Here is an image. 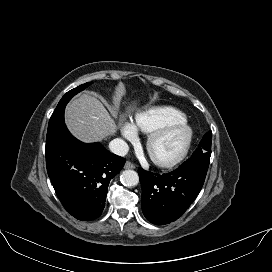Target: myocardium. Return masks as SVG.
Returning a JSON list of instances; mask_svg holds the SVG:
<instances>
[{
    "instance_id": "1",
    "label": "myocardium",
    "mask_w": 272,
    "mask_h": 272,
    "mask_svg": "<svg viewBox=\"0 0 272 272\" xmlns=\"http://www.w3.org/2000/svg\"><path fill=\"white\" fill-rule=\"evenodd\" d=\"M176 130H181L184 132V141L181 149L177 154L170 158H159L153 153V148L155 143L164 137L165 135L174 132ZM193 141V130L186 120L170 123L162 128H159L150 133L146 141V149L151 158V160L158 166L163 168H172L178 165L187 156L189 149Z\"/></svg>"
}]
</instances>
